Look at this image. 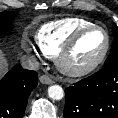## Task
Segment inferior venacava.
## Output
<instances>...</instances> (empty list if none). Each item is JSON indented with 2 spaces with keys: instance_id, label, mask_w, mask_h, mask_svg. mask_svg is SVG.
Wrapping results in <instances>:
<instances>
[{
  "instance_id": "602c4592",
  "label": "inferior vena cava",
  "mask_w": 118,
  "mask_h": 118,
  "mask_svg": "<svg viewBox=\"0 0 118 118\" xmlns=\"http://www.w3.org/2000/svg\"><path fill=\"white\" fill-rule=\"evenodd\" d=\"M21 65L25 69L38 70L39 62L35 56H23L21 58Z\"/></svg>"
}]
</instances>
